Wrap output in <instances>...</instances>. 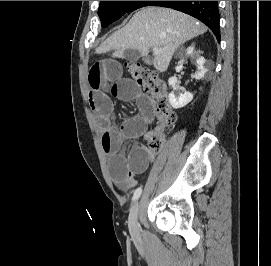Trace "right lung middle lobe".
Here are the masks:
<instances>
[{
    "instance_id": "right-lung-middle-lobe-1",
    "label": "right lung middle lobe",
    "mask_w": 271,
    "mask_h": 266,
    "mask_svg": "<svg viewBox=\"0 0 271 266\" xmlns=\"http://www.w3.org/2000/svg\"><path fill=\"white\" fill-rule=\"evenodd\" d=\"M153 1H100L98 15L101 19L102 27H107L112 22L121 18L128 12L149 6Z\"/></svg>"
}]
</instances>
